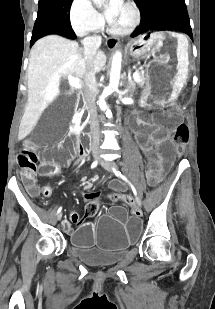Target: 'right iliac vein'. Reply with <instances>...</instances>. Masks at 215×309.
<instances>
[{"label":"right iliac vein","mask_w":215,"mask_h":309,"mask_svg":"<svg viewBox=\"0 0 215 309\" xmlns=\"http://www.w3.org/2000/svg\"><path fill=\"white\" fill-rule=\"evenodd\" d=\"M61 217H62V213L60 212V213L57 215L56 220L59 221V220L61 219Z\"/></svg>","instance_id":"1"}]
</instances>
